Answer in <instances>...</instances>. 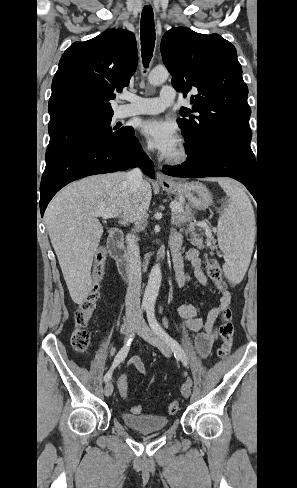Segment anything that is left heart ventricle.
Masks as SVG:
<instances>
[{
    "mask_svg": "<svg viewBox=\"0 0 297 488\" xmlns=\"http://www.w3.org/2000/svg\"><path fill=\"white\" fill-rule=\"evenodd\" d=\"M177 150H178V147L175 149V151L172 153V155H174L177 152Z\"/></svg>",
    "mask_w": 297,
    "mask_h": 488,
    "instance_id": "1",
    "label": "left heart ventricle"
}]
</instances>
